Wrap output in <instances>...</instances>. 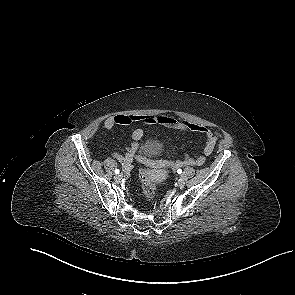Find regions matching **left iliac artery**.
Instances as JSON below:
<instances>
[{
	"instance_id": "1",
	"label": "left iliac artery",
	"mask_w": 295,
	"mask_h": 295,
	"mask_svg": "<svg viewBox=\"0 0 295 295\" xmlns=\"http://www.w3.org/2000/svg\"><path fill=\"white\" fill-rule=\"evenodd\" d=\"M177 173H178V174H181V173H182V170H181V169H178V170H177Z\"/></svg>"
}]
</instances>
